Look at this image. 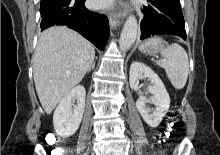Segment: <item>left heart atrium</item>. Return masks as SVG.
<instances>
[{"mask_svg": "<svg viewBox=\"0 0 220 155\" xmlns=\"http://www.w3.org/2000/svg\"><path fill=\"white\" fill-rule=\"evenodd\" d=\"M114 0H93L94 7L98 9H106L113 5Z\"/></svg>", "mask_w": 220, "mask_h": 155, "instance_id": "obj_1", "label": "left heart atrium"}]
</instances>
